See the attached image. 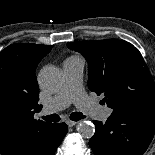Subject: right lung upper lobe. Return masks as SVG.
<instances>
[{
    "instance_id": "right-lung-upper-lobe-1",
    "label": "right lung upper lobe",
    "mask_w": 155,
    "mask_h": 155,
    "mask_svg": "<svg viewBox=\"0 0 155 155\" xmlns=\"http://www.w3.org/2000/svg\"><path fill=\"white\" fill-rule=\"evenodd\" d=\"M52 45L16 43L0 52V153L41 155L54 124L33 118L42 108L35 69Z\"/></svg>"
}]
</instances>
